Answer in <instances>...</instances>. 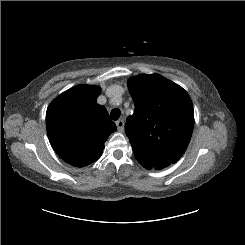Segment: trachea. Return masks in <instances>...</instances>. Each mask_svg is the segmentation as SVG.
<instances>
[{
  "label": "trachea",
  "instance_id": "1",
  "mask_svg": "<svg viewBox=\"0 0 245 245\" xmlns=\"http://www.w3.org/2000/svg\"><path fill=\"white\" fill-rule=\"evenodd\" d=\"M110 115H111V118L113 120H118L120 115H121V111L119 109L115 108L111 111Z\"/></svg>",
  "mask_w": 245,
  "mask_h": 245
}]
</instances>
